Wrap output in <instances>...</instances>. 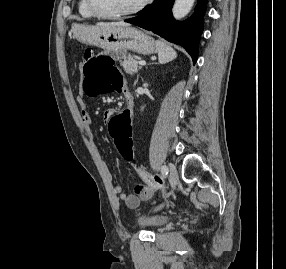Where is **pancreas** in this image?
Listing matches in <instances>:
<instances>
[{
  "label": "pancreas",
  "instance_id": "cf45deb5",
  "mask_svg": "<svg viewBox=\"0 0 286 269\" xmlns=\"http://www.w3.org/2000/svg\"><path fill=\"white\" fill-rule=\"evenodd\" d=\"M120 65L128 74H135L141 68L138 66V61L131 56L125 57L123 61H120Z\"/></svg>",
  "mask_w": 286,
  "mask_h": 269
}]
</instances>
